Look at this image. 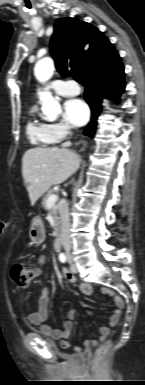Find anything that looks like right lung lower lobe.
Segmentation results:
<instances>
[{"label": "right lung lower lobe", "mask_w": 145, "mask_h": 385, "mask_svg": "<svg viewBox=\"0 0 145 385\" xmlns=\"http://www.w3.org/2000/svg\"><path fill=\"white\" fill-rule=\"evenodd\" d=\"M86 82L85 100L92 112L91 121L84 130V134L94 136L97 125V117L101 111L103 98H112L117 101L125 88L124 67L121 62L113 68L84 78Z\"/></svg>", "instance_id": "right-lung-lower-lobe-1"}]
</instances>
